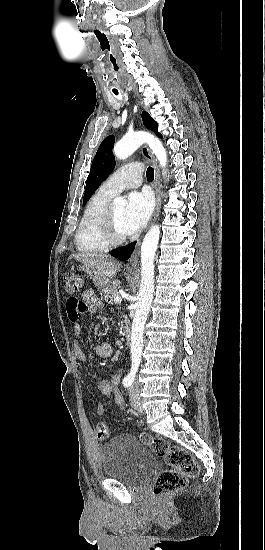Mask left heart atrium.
Segmentation results:
<instances>
[{
    "instance_id": "39dd6f15",
    "label": "left heart atrium",
    "mask_w": 265,
    "mask_h": 550,
    "mask_svg": "<svg viewBox=\"0 0 265 550\" xmlns=\"http://www.w3.org/2000/svg\"><path fill=\"white\" fill-rule=\"evenodd\" d=\"M153 211V200L148 192H133L128 197L125 227L129 234L143 228Z\"/></svg>"
}]
</instances>
